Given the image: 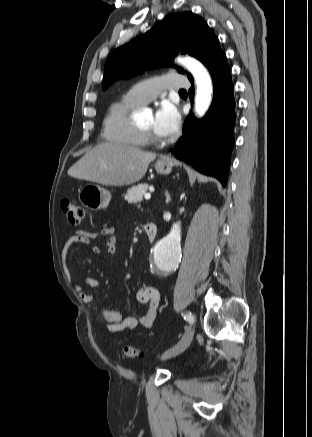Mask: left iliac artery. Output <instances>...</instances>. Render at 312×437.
I'll list each match as a JSON object with an SVG mask.
<instances>
[{"mask_svg": "<svg viewBox=\"0 0 312 437\" xmlns=\"http://www.w3.org/2000/svg\"><path fill=\"white\" fill-rule=\"evenodd\" d=\"M183 317L185 320L189 321L190 323H193V321H194L191 313L186 312L183 314Z\"/></svg>", "mask_w": 312, "mask_h": 437, "instance_id": "obj_1", "label": "left iliac artery"}]
</instances>
